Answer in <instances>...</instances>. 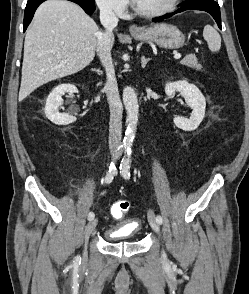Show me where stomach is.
Returning <instances> with one entry per match:
<instances>
[{
  "label": "stomach",
  "instance_id": "obj_1",
  "mask_svg": "<svg viewBox=\"0 0 249 294\" xmlns=\"http://www.w3.org/2000/svg\"><path fill=\"white\" fill-rule=\"evenodd\" d=\"M131 35L136 40L151 41L168 49L180 48L185 43L184 34L176 26L167 23L143 28L138 32H132Z\"/></svg>",
  "mask_w": 249,
  "mask_h": 294
}]
</instances>
